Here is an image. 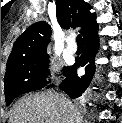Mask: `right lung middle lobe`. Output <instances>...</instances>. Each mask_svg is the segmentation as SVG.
Wrapping results in <instances>:
<instances>
[{
  "instance_id": "dd1d6c3e",
  "label": "right lung middle lobe",
  "mask_w": 122,
  "mask_h": 123,
  "mask_svg": "<svg viewBox=\"0 0 122 123\" xmlns=\"http://www.w3.org/2000/svg\"><path fill=\"white\" fill-rule=\"evenodd\" d=\"M48 58V54H43L6 69L4 80L6 105H10L17 96L40 90L48 84L45 81ZM67 69L68 67H65L64 72Z\"/></svg>"
}]
</instances>
